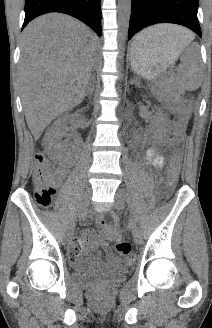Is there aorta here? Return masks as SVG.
I'll use <instances>...</instances> for the list:
<instances>
[{"mask_svg": "<svg viewBox=\"0 0 212 328\" xmlns=\"http://www.w3.org/2000/svg\"><path fill=\"white\" fill-rule=\"evenodd\" d=\"M131 15V0H118L119 43L126 40Z\"/></svg>", "mask_w": 212, "mask_h": 328, "instance_id": "aorta-1", "label": "aorta"}]
</instances>
